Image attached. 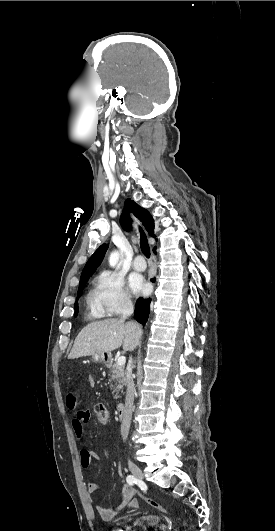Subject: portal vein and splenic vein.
I'll list each match as a JSON object with an SVG mask.
<instances>
[{
  "mask_svg": "<svg viewBox=\"0 0 275 531\" xmlns=\"http://www.w3.org/2000/svg\"><path fill=\"white\" fill-rule=\"evenodd\" d=\"M126 363V357H119V359H117V365H125Z\"/></svg>",
  "mask_w": 275,
  "mask_h": 531,
  "instance_id": "18ae733b",
  "label": "portal vein and splenic vein"
}]
</instances>
